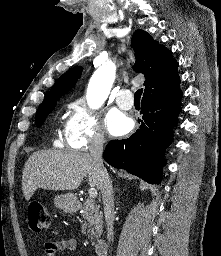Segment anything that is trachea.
Listing matches in <instances>:
<instances>
[{"label": "trachea", "mask_w": 221, "mask_h": 256, "mask_svg": "<svg viewBox=\"0 0 221 256\" xmlns=\"http://www.w3.org/2000/svg\"><path fill=\"white\" fill-rule=\"evenodd\" d=\"M142 92H143V89H139L135 92V95H134L135 102L140 103V98H141Z\"/></svg>", "instance_id": "trachea-1"}]
</instances>
